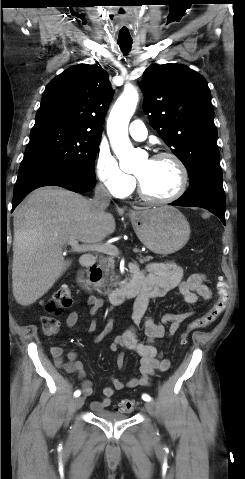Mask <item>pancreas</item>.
<instances>
[{
  "label": "pancreas",
  "instance_id": "pancreas-1",
  "mask_svg": "<svg viewBox=\"0 0 245 479\" xmlns=\"http://www.w3.org/2000/svg\"><path fill=\"white\" fill-rule=\"evenodd\" d=\"M152 257L147 256L140 259L141 262H147ZM114 257L113 256H102L100 255L98 258V267L103 272V277L100 281L95 282L94 286L97 287L100 291L103 290L104 294H108L111 292V288L116 287L119 282V276L115 274V265H114ZM102 292V291H101Z\"/></svg>",
  "mask_w": 245,
  "mask_h": 479
}]
</instances>
